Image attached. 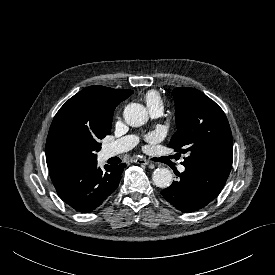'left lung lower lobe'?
Here are the masks:
<instances>
[{
    "label": "left lung lower lobe",
    "instance_id": "obj_1",
    "mask_svg": "<svg viewBox=\"0 0 275 275\" xmlns=\"http://www.w3.org/2000/svg\"><path fill=\"white\" fill-rule=\"evenodd\" d=\"M184 166L185 171L178 173L179 180L173 181L161 194L178 210L190 213L205 207L219 194L229 173L207 167Z\"/></svg>",
    "mask_w": 275,
    "mask_h": 275
}]
</instances>
